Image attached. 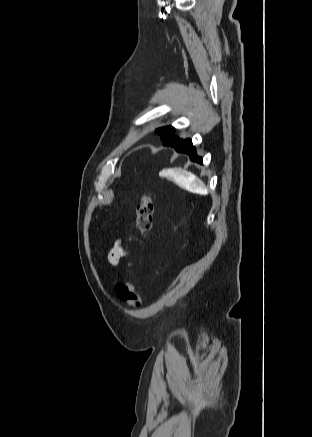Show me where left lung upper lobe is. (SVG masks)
I'll return each instance as SVG.
<instances>
[{"instance_id": "obj_1", "label": "left lung upper lobe", "mask_w": 312, "mask_h": 437, "mask_svg": "<svg viewBox=\"0 0 312 437\" xmlns=\"http://www.w3.org/2000/svg\"><path fill=\"white\" fill-rule=\"evenodd\" d=\"M175 129L171 126L163 127L156 130L158 134L161 135V140L163 143H169L170 141L179 140L178 137H173Z\"/></svg>"}]
</instances>
